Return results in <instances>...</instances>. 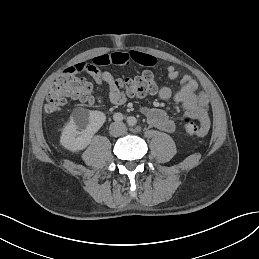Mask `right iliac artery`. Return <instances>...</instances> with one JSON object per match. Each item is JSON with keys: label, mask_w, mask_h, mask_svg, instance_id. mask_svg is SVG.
Masks as SVG:
<instances>
[{"label": "right iliac artery", "mask_w": 259, "mask_h": 259, "mask_svg": "<svg viewBox=\"0 0 259 259\" xmlns=\"http://www.w3.org/2000/svg\"><path fill=\"white\" fill-rule=\"evenodd\" d=\"M113 119L116 121V122H120L124 119L123 115L121 113H115L113 115Z\"/></svg>", "instance_id": "1"}]
</instances>
